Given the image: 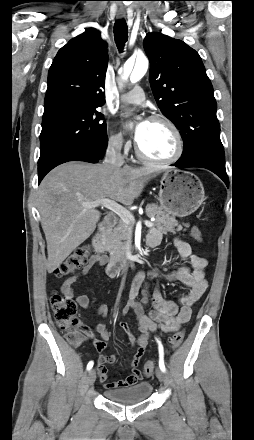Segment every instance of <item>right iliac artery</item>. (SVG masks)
I'll use <instances>...</instances> for the list:
<instances>
[{"mask_svg":"<svg viewBox=\"0 0 254 440\" xmlns=\"http://www.w3.org/2000/svg\"><path fill=\"white\" fill-rule=\"evenodd\" d=\"M93 361H90L87 365V370H90L93 367Z\"/></svg>","mask_w":254,"mask_h":440,"instance_id":"obj_1","label":"right iliac artery"}]
</instances>
